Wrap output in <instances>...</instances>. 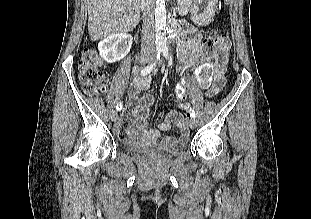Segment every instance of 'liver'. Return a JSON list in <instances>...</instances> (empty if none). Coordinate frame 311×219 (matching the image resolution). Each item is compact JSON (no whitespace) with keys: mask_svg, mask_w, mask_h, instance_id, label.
<instances>
[{"mask_svg":"<svg viewBox=\"0 0 311 219\" xmlns=\"http://www.w3.org/2000/svg\"><path fill=\"white\" fill-rule=\"evenodd\" d=\"M142 0H86L93 41L132 30L140 20Z\"/></svg>","mask_w":311,"mask_h":219,"instance_id":"6515ba94","label":"liver"}]
</instances>
